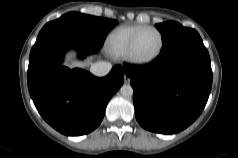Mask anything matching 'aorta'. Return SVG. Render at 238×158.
Segmentation results:
<instances>
[{
	"label": "aorta",
	"instance_id": "1",
	"mask_svg": "<svg viewBox=\"0 0 238 158\" xmlns=\"http://www.w3.org/2000/svg\"><path fill=\"white\" fill-rule=\"evenodd\" d=\"M120 92L124 97H130L133 94V89L130 85H123L120 88Z\"/></svg>",
	"mask_w": 238,
	"mask_h": 158
}]
</instances>
